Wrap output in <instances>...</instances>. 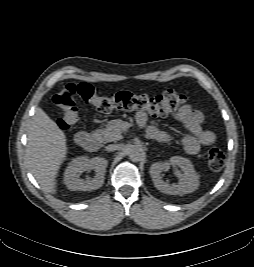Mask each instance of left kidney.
Wrapping results in <instances>:
<instances>
[{
	"label": "left kidney",
	"mask_w": 254,
	"mask_h": 267,
	"mask_svg": "<svg viewBox=\"0 0 254 267\" xmlns=\"http://www.w3.org/2000/svg\"><path fill=\"white\" fill-rule=\"evenodd\" d=\"M170 164L178 166L182 172L177 173L179 182L177 184H168L162 180L161 173L165 167L163 162L153 163L150 167V176L155 187L162 193L170 195H184L194 192L199 186V176L191 161L181 156L170 158Z\"/></svg>",
	"instance_id": "1"
}]
</instances>
